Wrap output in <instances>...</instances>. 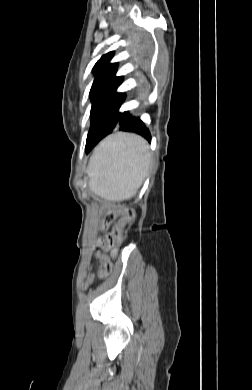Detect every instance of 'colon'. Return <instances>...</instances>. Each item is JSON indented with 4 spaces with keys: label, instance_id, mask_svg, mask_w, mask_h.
I'll list each match as a JSON object with an SVG mask.
<instances>
[{
    "label": "colon",
    "instance_id": "obj_1",
    "mask_svg": "<svg viewBox=\"0 0 252 390\" xmlns=\"http://www.w3.org/2000/svg\"><path fill=\"white\" fill-rule=\"evenodd\" d=\"M118 215H122V218L117 223H114ZM133 216V209L123 204L112 205L107 209L101 221V228L102 230L107 231L108 228L112 227L109 232H106L104 236L98 239L97 246L101 250L109 252L111 258H114L117 255L119 247L123 242L122 228L124 224L130 221ZM97 256L100 259V266L97 274L100 279H104L111 271V259L103 253H98Z\"/></svg>",
    "mask_w": 252,
    "mask_h": 390
}]
</instances>
